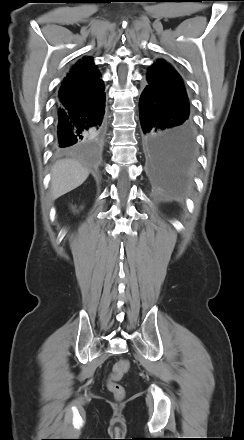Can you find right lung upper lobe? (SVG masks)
I'll return each mask as SVG.
<instances>
[{
    "label": "right lung upper lobe",
    "mask_w": 244,
    "mask_h": 440,
    "mask_svg": "<svg viewBox=\"0 0 244 440\" xmlns=\"http://www.w3.org/2000/svg\"><path fill=\"white\" fill-rule=\"evenodd\" d=\"M103 92L104 85L100 74L92 58L86 57L78 61L65 77L59 90L58 104L61 106L78 104Z\"/></svg>",
    "instance_id": "cb5924a9"
}]
</instances>
